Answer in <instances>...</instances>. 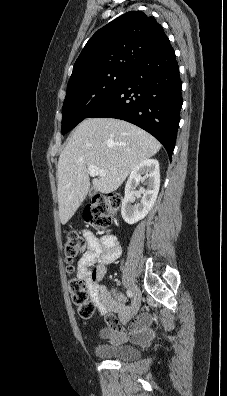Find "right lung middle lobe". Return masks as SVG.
I'll use <instances>...</instances> for the list:
<instances>
[{"mask_svg": "<svg viewBox=\"0 0 227 396\" xmlns=\"http://www.w3.org/2000/svg\"><path fill=\"white\" fill-rule=\"evenodd\" d=\"M130 72L111 70L67 87L63 104L62 134L69 132L110 98L123 85Z\"/></svg>", "mask_w": 227, "mask_h": 396, "instance_id": "dd1d6c3e", "label": "right lung middle lobe"}]
</instances>
